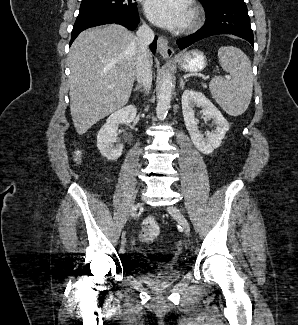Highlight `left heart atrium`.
<instances>
[{
  "mask_svg": "<svg viewBox=\"0 0 298 325\" xmlns=\"http://www.w3.org/2000/svg\"><path fill=\"white\" fill-rule=\"evenodd\" d=\"M144 11L150 22L165 29H181L189 19L184 0H146Z\"/></svg>",
  "mask_w": 298,
  "mask_h": 325,
  "instance_id": "1",
  "label": "left heart atrium"
}]
</instances>
